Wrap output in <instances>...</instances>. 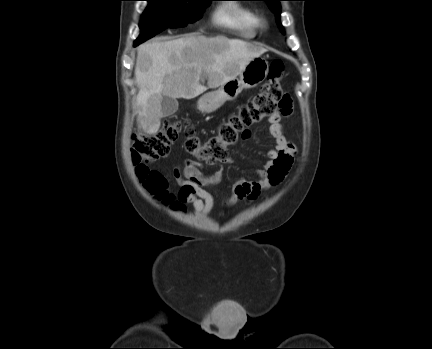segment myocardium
<instances>
[{
  "label": "myocardium",
  "mask_w": 432,
  "mask_h": 349,
  "mask_svg": "<svg viewBox=\"0 0 432 349\" xmlns=\"http://www.w3.org/2000/svg\"><path fill=\"white\" fill-rule=\"evenodd\" d=\"M260 24H264V21H263V20H260Z\"/></svg>",
  "instance_id": "myocardium-1"
}]
</instances>
